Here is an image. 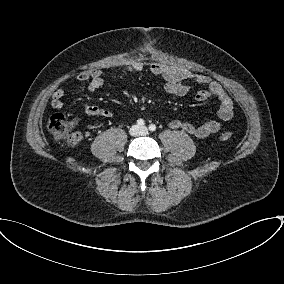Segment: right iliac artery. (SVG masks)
Listing matches in <instances>:
<instances>
[{
	"mask_svg": "<svg viewBox=\"0 0 284 284\" xmlns=\"http://www.w3.org/2000/svg\"><path fill=\"white\" fill-rule=\"evenodd\" d=\"M137 124H138L139 126H143V125L145 124V121H144L143 119H138V120H137Z\"/></svg>",
	"mask_w": 284,
	"mask_h": 284,
	"instance_id": "obj_1",
	"label": "right iliac artery"
}]
</instances>
